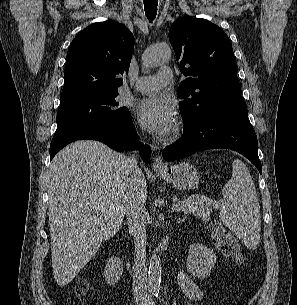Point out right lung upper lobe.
Returning <instances> with one entry per match:
<instances>
[{
  "label": "right lung upper lobe",
  "mask_w": 297,
  "mask_h": 305,
  "mask_svg": "<svg viewBox=\"0 0 297 305\" xmlns=\"http://www.w3.org/2000/svg\"><path fill=\"white\" fill-rule=\"evenodd\" d=\"M134 37L127 27L113 21L83 29L67 52L61 100L93 92L118 91L119 75L128 72Z\"/></svg>",
  "instance_id": "cb5924a9"
}]
</instances>
